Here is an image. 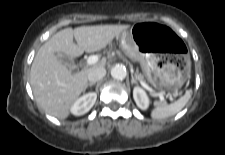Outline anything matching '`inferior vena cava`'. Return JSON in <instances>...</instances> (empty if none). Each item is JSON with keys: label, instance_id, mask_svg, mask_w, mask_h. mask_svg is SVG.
I'll list each match as a JSON object with an SVG mask.
<instances>
[{"label": "inferior vena cava", "instance_id": "inferior-vena-cava-1", "mask_svg": "<svg viewBox=\"0 0 225 155\" xmlns=\"http://www.w3.org/2000/svg\"><path fill=\"white\" fill-rule=\"evenodd\" d=\"M106 75V69L103 66H96L90 69L87 79L90 83L101 80Z\"/></svg>", "mask_w": 225, "mask_h": 155}]
</instances>
